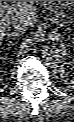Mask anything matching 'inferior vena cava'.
<instances>
[{"mask_svg": "<svg viewBox=\"0 0 74 122\" xmlns=\"http://www.w3.org/2000/svg\"><path fill=\"white\" fill-rule=\"evenodd\" d=\"M10 25L17 31L23 33L28 27V20L24 16H13Z\"/></svg>", "mask_w": 74, "mask_h": 122, "instance_id": "1", "label": "inferior vena cava"}]
</instances>
